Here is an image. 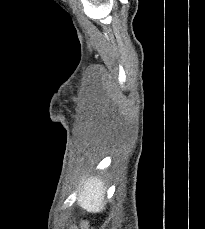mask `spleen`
<instances>
[{"label": "spleen", "mask_w": 205, "mask_h": 229, "mask_svg": "<svg viewBox=\"0 0 205 229\" xmlns=\"http://www.w3.org/2000/svg\"><path fill=\"white\" fill-rule=\"evenodd\" d=\"M81 191L77 202L88 212H100L104 207V182L97 177L85 178L81 181Z\"/></svg>", "instance_id": "obj_1"}]
</instances>
